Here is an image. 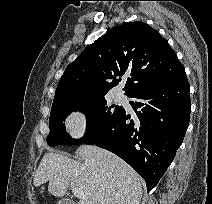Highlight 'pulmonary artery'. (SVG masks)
Returning <instances> with one entry per match:
<instances>
[{
  "label": "pulmonary artery",
  "instance_id": "pulmonary-artery-1",
  "mask_svg": "<svg viewBox=\"0 0 212 204\" xmlns=\"http://www.w3.org/2000/svg\"><path fill=\"white\" fill-rule=\"evenodd\" d=\"M115 98H116V100L120 101V100L123 99V96H122V94L117 93V94L115 95Z\"/></svg>",
  "mask_w": 212,
  "mask_h": 204
}]
</instances>
